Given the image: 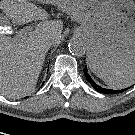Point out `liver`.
Masks as SVG:
<instances>
[{
    "label": "liver",
    "mask_w": 135,
    "mask_h": 135,
    "mask_svg": "<svg viewBox=\"0 0 135 135\" xmlns=\"http://www.w3.org/2000/svg\"><path fill=\"white\" fill-rule=\"evenodd\" d=\"M6 14L5 26L40 20L37 27L24 38H12L0 33V93L18 99L31 94L36 87L45 57L54 43L61 39L63 22L49 20V14L29 0H0Z\"/></svg>",
    "instance_id": "liver-1"
}]
</instances>
